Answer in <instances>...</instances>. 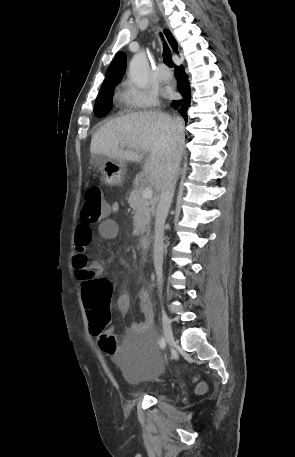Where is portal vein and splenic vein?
I'll use <instances>...</instances> for the list:
<instances>
[{
    "mask_svg": "<svg viewBox=\"0 0 295 457\" xmlns=\"http://www.w3.org/2000/svg\"><path fill=\"white\" fill-rule=\"evenodd\" d=\"M136 151L138 152L139 150L136 149ZM142 196H143V198H145V199H151L152 196H153V190H152V188H151V187H146V188H144L143 191H142Z\"/></svg>",
    "mask_w": 295,
    "mask_h": 457,
    "instance_id": "obj_1",
    "label": "portal vein and splenic vein"
}]
</instances>
